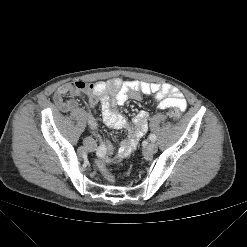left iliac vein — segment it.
<instances>
[{
	"label": "left iliac vein",
	"mask_w": 247,
	"mask_h": 247,
	"mask_svg": "<svg viewBox=\"0 0 247 247\" xmlns=\"http://www.w3.org/2000/svg\"><path fill=\"white\" fill-rule=\"evenodd\" d=\"M158 149V146L155 142H151L145 149H144V153L146 155H152L154 153H156Z\"/></svg>",
	"instance_id": "1"
}]
</instances>
